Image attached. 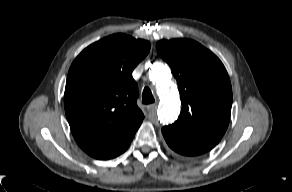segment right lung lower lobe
Returning a JSON list of instances; mask_svg holds the SVG:
<instances>
[{
  "label": "right lung lower lobe",
  "mask_w": 292,
  "mask_h": 192,
  "mask_svg": "<svg viewBox=\"0 0 292 192\" xmlns=\"http://www.w3.org/2000/svg\"><path fill=\"white\" fill-rule=\"evenodd\" d=\"M135 133L136 130L127 136H124L113 141L101 143L83 142L80 143L79 146L87 154L96 159L100 160L112 159L122 154L128 148Z\"/></svg>",
  "instance_id": "98d812e1"
}]
</instances>
